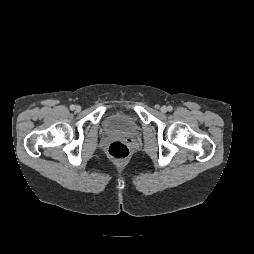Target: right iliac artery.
Wrapping results in <instances>:
<instances>
[{"instance_id":"1","label":"right iliac artery","mask_w":254,"mask_h":254,"mask_svg":"<svg viewBox=\"0 0 254 254\" xmlns=\"http://www.w3.org/2000/svg\"><path fill=\"white\" fill-rule=\"evenodd\" d=\"M70 109H71V110H74V109H75V105H71V106H70Z\"/></svg>"}]
</instances>
